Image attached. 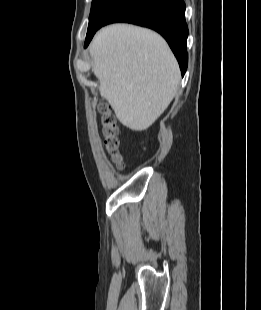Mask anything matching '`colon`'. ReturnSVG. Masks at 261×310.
I'll use <instances>...</instances> for the list:
<instances>
[{
    "label": "colon",
    "instance_id": "obj_1",
    "mask_svg": "<svg viewBox=\"0 0 261 310\" xmlns=\"http://www.w3.org/2000/svg\"><path fill=\"white\" fill-rule=\"evenodd\" d=\"M102 112V127L104 135V146L107 151L111 154L113 160L121 165V156L118 152L119 139H118V126L116 120L111 114L110 108L107 105L101 107Z\"/></svg>",
    "mask_w": 261,
    "mask_h": 310
}]
</instances>
